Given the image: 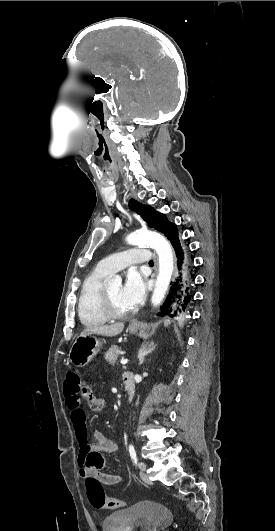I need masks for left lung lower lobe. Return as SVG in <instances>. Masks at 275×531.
I'll return each instance as SVG.
<instances>
[{
	"instance_id": "left-lung-lower-lobe-1",
	"label": "left lung lower lobe",
	"mask_w": 275,
	"mask_h": 531,
	"mask_svg": "<svg viewBox=\"0 0 275 531\" xmlns=\"http://www.w3.org/2000/svg\"><path fill=\"white\" fill-rule=\"evenodd\" d=\"M165 236L171 242L176 256L177 276L171 282L169 294L161 306V315L184 318L188 313L191 300V268L192 261L186 244L182 241L178 229L172 224L166 230Z\"/></svg>"
}]
</instances>
